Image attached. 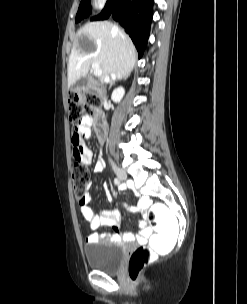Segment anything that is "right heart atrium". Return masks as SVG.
Instances as JSON below:
<instances>
[{"label":"right heart atrium","mask_w":247,"mask_h":304,"mask_svg":"<svg viewBox=\"0 0 247 304\" xmlns=\"http://www.w3.org/2000/svg\"><path fill=\"white\" fill-rule=\"evenodd\" d=\"M93 4L98 7V8H102L105 6V4L107 3V0H92Z\"/></svg>","instance_id":"obj_1"}]
</instances>
